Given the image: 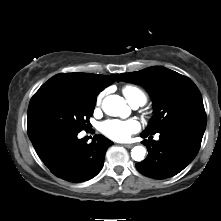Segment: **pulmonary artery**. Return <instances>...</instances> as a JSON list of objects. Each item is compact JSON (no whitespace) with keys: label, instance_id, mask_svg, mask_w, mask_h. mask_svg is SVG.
I'll return each mask as SVG.
<instances>
[{"label":"pulmonary artery","instance_id":"pulmonary-artery-1","mask_svg":"<svg viewBox=\"0 0 221 221\" xmlns=\"http://www.w3.org/2000/svg\"><path fill=\"white\" fill-rule=\"evenodd\" d=\"M142 104L141 103H139V102H135V103H132L131 104V106L133 107V108H138L139 106H141Z\"/></svg>","mask_w":221,"mask_h":221}]
</instances>
